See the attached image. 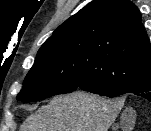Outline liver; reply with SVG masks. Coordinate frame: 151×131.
<instances>
[{
    "label": "liver",
    "mask_w": 151,
    "mask_h": 131,
    "mask_svg": "<svg viewBox=\"0 0 151 131\" xmlns=\"http://www.w3.org/2000/svg\"><path fill=\"white\" fill-rule=\"evenodd\" d=\"M121 108L118 100L74 92L54 97L31 114L20 131H108Z\"/></svg>",
    "instance_id": "6515ba94"
}]
</instances>
